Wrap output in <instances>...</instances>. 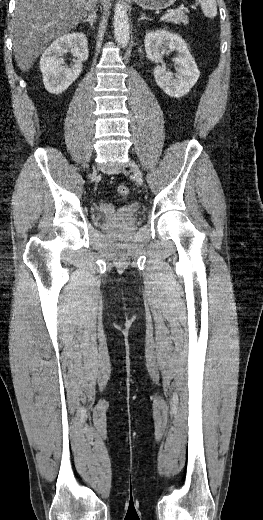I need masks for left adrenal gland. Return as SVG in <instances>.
<instances>
[{
	"label": "left adrenal gland",
	"instance_id": "obj_1",
	"mask_svg": "<svg viewBox=\"0 0 263 520\" xmlns=\"http://www.w3.org/2000/svg\"><path fill=\"white\" fill-rule=\"evenodd\" d=\"M142 20H151V19L148 18L144 13L141 12V15H140V18L138 19V21H142Z\"/></svg>",
	"mask_w": 263,
	"mask_h": 520
}]
</instances>
